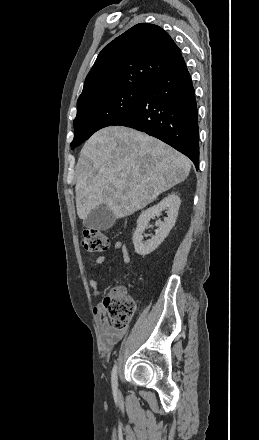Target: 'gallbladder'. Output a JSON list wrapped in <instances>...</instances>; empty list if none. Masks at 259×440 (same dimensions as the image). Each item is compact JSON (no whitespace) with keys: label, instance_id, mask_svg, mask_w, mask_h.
<instances>
[{"label":"gallbladder","instance_id":"obj_1","mask_svg":"<svg viewBox=\"0 0 259 440\" xmlns=\"http://www.w3.org/2000/svg\"><path fill=\"white\" fill-rule=\"evenodd\" d=\"M116 219L112 211L102 205L90 212L83 220V226L93 230H108L115 224Z\"/></svg>","mask_w":259,"mask_h":440}]
</instances>
